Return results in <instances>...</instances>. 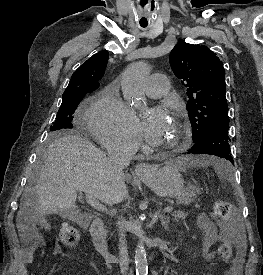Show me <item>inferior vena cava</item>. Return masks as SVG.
Returning <instances> with one entry per match:
<instances>
[{"label":"inferior vena cava","mask_w":263,"mask_h":275,"mask_svg":"<svg viewBox=\"0 0 263 275\" xmlns=\"http://www.w3.org/2000/svg\"><path fill=\"white\" fill-rule=\"evenodd\" d=\"M133 156V151L124 145H115L108 149V160L112 172L119 179H124L123 169L127 167ZM119 232V265L122 275L129 269V256L126 241V221L121 217L117 223Z\"/></svg>","instance_id":"602c4592"}]
</instances>
